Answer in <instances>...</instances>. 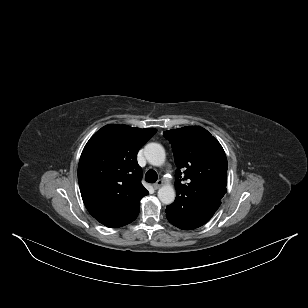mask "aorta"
I'll return each instance as SVG.
<instances>
[{
	"label": "aorta",
	"mask_w": 308,
	"mask_h": 308,
	"mask_svg": "<svg viewBox=\"0 0 308 308\" xmlns=\"http://www.w3.org/2000/svg\"><path fill=\"white\" fill-rule=\"evenodd\" d=\"M144 154L147 161L154 166H161L166 159L165 150L158 143L147 144L144 149ZM175 196V189L172 185H164L158 190V198L165 205L173 203Z\"/></svg>",
	"instance_id": "1"
}]
</instances>
